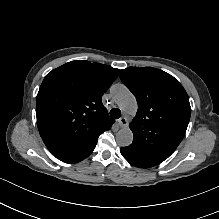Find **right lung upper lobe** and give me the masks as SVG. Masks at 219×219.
Masks as SVG:
<instances>
[{"mask_svg": "<svg viewBox=\"0 0 219 219\" xmlns=\"http://www.w3.org/2000/svg\"><path fill=\"white\" fill-rule=\"evenodd\" d=\"M119 69L84 60L68 62L46 75L36 98L40 135L51 153H79L96 146L114 120L102 96Z\"/></svg>", "mask_w": 219, "mask_h": 219, "instance_id": "right-lung-upper-lobe-1", "label": "right lung upper lobe"}]
</instances>
